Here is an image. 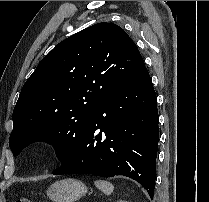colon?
<instances>
[{
  "label": "colon",
  "instance_id": "colon-1",
  "mask_svg": "<svg viewBox=\"0 0 209 202\" xmlns=\"http://www.w3.org/2000/svg\"><path fill=\"white\" fill-rule=\"evenodd\" d=\"M15 202H31V201L27 198H21V199L16 200Z\"/></svg>",
  "mask_w": 209,
  "mask_h": 202
}]
</instances>
